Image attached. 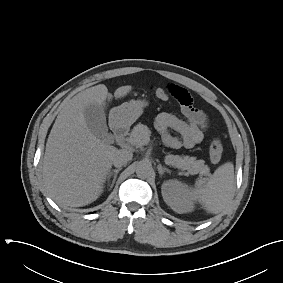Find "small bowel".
I'll return each mask as SVG.
<instances>
[{"instance_id":"c3829d8e","label":"small bowel","mask_w":283,"mask_h":283,"mask_svg":"<svg viewBox=\"0 0 283 283\" xmlns=\"http://www.w3.org/2000/svg\"><path fill=\"white\" fill-rule=\"evenodd\" d=\"M166 91L180 104L184 119L168 112H161L155 118V127L162 136L163 143L171 149L192 148L200 143L209 122L205 113L193 105L190 93L176 84H168ZM174 130L178 136L171 134Z\"/></svg>"}]
</instances>
